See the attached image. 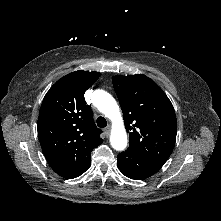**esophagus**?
Segmentation results:
<instances>
[{"mask_svg": "<svg viewBox=\"0 0 221 221\" xmlns=\"http://www.w3.org/2000/svg\"><path fill=\"white\" fill-rule=\"evenodd\" d=\"M110 130H111V127H110V126H108V127L105 128V133H106V135H109V134H110Z\"/></svg>", "mask_w": 221, "mask_h": 221, "instance_id": "34e87169", "label": "esophagus"}]
</instances>
